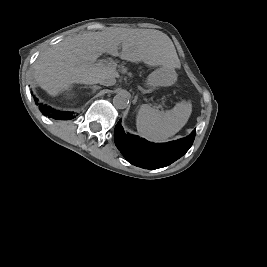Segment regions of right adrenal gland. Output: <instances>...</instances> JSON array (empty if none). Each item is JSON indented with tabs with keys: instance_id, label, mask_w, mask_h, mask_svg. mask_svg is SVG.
<instances>
[{
	"instance_id": "obj_1",
	"label": "right adrenal gland",
	"mask_w": 267,
	"mask_h": 267,
	"mask_svg": "<svg viewBox=\"0 0 267 267\" xmlns=\"http://www.w3.org/2000/svg\"><path fill=\"white\" fill-rule=\"evenodd\" d=\"M85 88H91L93 90V93H94L96 90L100 89L101 87L97 86V85H93V86H85Z\"/></svg>"
}]
</instances>
